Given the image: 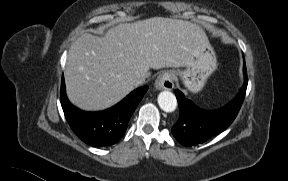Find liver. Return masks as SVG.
<instances>
[{"instance_id": "1", "label": "liver", "mask_w": 288, "mask_h": 181, "mask_svg": "<svg viewBox=\"0 0 288 181\" xmlns=\"http://www.w3.org/2000/svg\"><path fill=\"white\" fill-rule=\"evenodd\" d=\"M203 31L188 21L152 17L89 33L70 47L65 68L68 98L84 110L109 108L135 88L150 69L184 67Z\"/></svg>"}]
</instances>
